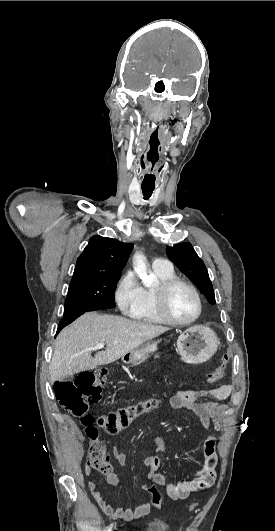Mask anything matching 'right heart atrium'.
<instances>
[{
  "mask_svg": "<svg viewBox=\"0 0 275 531\" xmlns=\"http://www.w3.org/2000/svg\"><path fill=\"white\" fill-rule=\"evenodd\" d=\"M143 290L133 272L128 271L122 275L115 290V299L124 315L134 317L141 309Z\"/></svg>",
  "mask_w": 275,
  "mask_h": 531,
  "instance_id": "1",
  "label": "right heart atrium"
}]
</instances>
